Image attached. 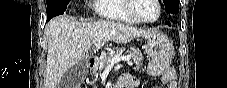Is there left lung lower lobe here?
<instances>
[{"mask_svg":"<svg viewBox=\"0 0 227 88\" xmlns=\"http://www.w3.org/2000/svg\"><path fill=\"white\" fill-rule=\"evenodd\" d=\"M166 24H167V25H169V26L171 25V23H170V22H166Z\"/></svg>","mask_w":227,"mask_h":88,"instance_id":"0a47b994","label":"left lung lower lobe"}]
</instances>
